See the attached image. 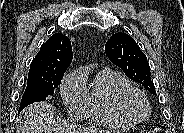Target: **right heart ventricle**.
<instances>
[{"mask_svg":"<svg viewBox=\"0 0 184 133\" xmlns=\"http://www.w3.org/2000/svg\"><path fill=\"white\" fill-rule=\"evenodd\" d=\"M83 75L85 76L84 73ZM130 86L131 83L120 73L109 68L100 69L95 74L91 90H88L89 100L86 115L93 122L101 125L130 126L132 123L125 119L116 107L118 92Z\"/></svg>","mask_w":184,"mask_h":133,"instance_id":"1","label":"right heart ventricle"}]
</instances>
